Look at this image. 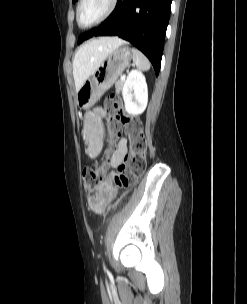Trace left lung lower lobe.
<instances>
[{"mask_svg":"<svg viewBox=\"0 0 247 304\" xmlns=\"http://www.w3.org/2000/svg\"><path fill=\"white\" fill-rule=\"evenodd\" d=\"M172 0H118L115 10L98 27L82 34L78 44L92 36H119L142 51L159 74Z\"/></svg>","mask_w":247,"mask_h":304,"instance_id":"obj_1","label":"left lung lower lobe"}]
</instances>
